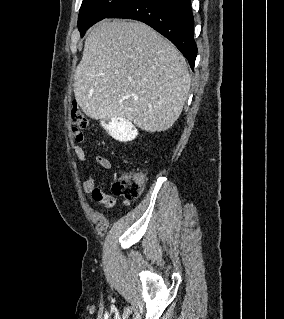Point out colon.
I'll return each instance as SVG.
<instances>
[{
    "label": "colon",
    "mask_w": 284,
    "mask_h": 319,
    "mask_svg": "<svg viewBox=\"0 0 284 319\" xmlns=\"http://www.w3.org/2000/svg\"><path fill=\"white\" fill-rule=\"evenodd\" d=\"M71 121L80 129L89 127L88 118L77 108L71 110ZM145 176L140 172H120L112 184V192L127 200L137 199L144 190Z\"/></svg>",
    "instance_id": "obj_1"
}]
</instances>
